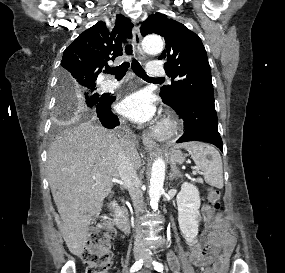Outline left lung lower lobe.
<instances>
[{
    "instance_id": "obj_1",
    "label": "left lung lower lobe",
    "mask_w": 285,
    "mask_h": 273,
    "mask_svg": "<svg viewBox=\"0 0 285 273\" xmlns=\"http://www.w3.org/2000/svg\"><path fill=\"white\" fill-rule=\"evenodd\" d=\"M183 119L185 132L177 142L203 141L217 146L223 151L218 132L214 97H189L176 102H167Z\"/></svg>"
}]
</instances>
